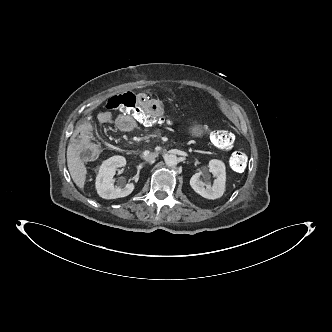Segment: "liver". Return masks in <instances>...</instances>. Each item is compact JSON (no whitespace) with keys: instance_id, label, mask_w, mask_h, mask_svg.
<instances>
[{"instance_id":"6515ba94","label":"liver","mask_w":332,"mask_h":332,"mask_svg":"<svg viewBox=\"0 0 332 332\" xmlns=\"http://www.w3.org/2000/svg\"><path fill=\"white\" fill-rule=\"evenodd\" d=\"M67 166L75 184L79 188H84L87 170L72 143L67 148Z\"/></svg>"}]
</instances>
